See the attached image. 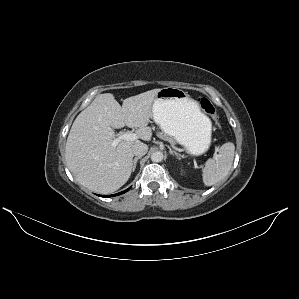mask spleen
Returning a JSON list of instances; mask_svg holds the SVG:
<instances>
[{"mask_svg":"<svg viewBox=\"0 0 299 299\" xmlns=\"http://www.w3.org/2000/svg\"><path fill=\"white\" fill-rule=\"evenodd\" d=\"M235 145L224 143L217 157L208 159L202 169V178L206 186H212L223 180L229 173L234 160Z\"/></svg>","mask_w":299,"mask_h":299,"instance_id":"1","label":"spleen"}]
</instances>
